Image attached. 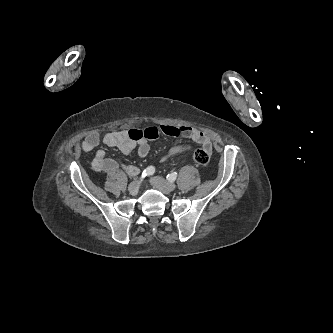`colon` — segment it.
Returning a JSON list of instances; mask_svg holds the SVG:
<instances>
[{
	"label": "colon",
	"instance_id": "5ec220e1",
	"mask_svg": "<svg viewBox=\"0 0 333 333\" xmlns=\"http://www.w3.org/2000/svg\"><path fill=\"white\" fill-rule=\"evenodd\" d=\"M181 150H186V147L181 148ZM193 159L196 164L203 166L209 162L210 154L204 149H196L193 151Z\"/></svg>",
	"mask_w": 333,
	"mask_h": 333
}]
</instances>
